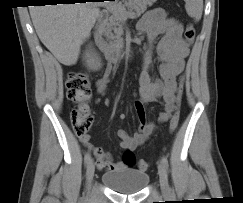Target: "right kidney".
<instances>
[{"mask_svg": "<svg viewBox=\"0 0 243 203\" xmlns=\"http://www.w3.org/2000/svg\"><path fill=\"white\" fill-rule=\"evenodd\" d=\"M85 59L87 60V65L91 70H98L100 67V60L95 59L92 56V51L88 50L85 53Z\"/></svg>", "mask_w": 243, "mask_h": 203, "instance_id": "right-kidney-1", "label": "right kidney"}]
</instances>
